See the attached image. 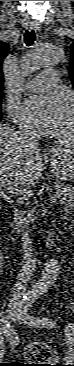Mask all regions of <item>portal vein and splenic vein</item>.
Wrapping results in <instances>:
<instances>
[{
	"label": "portal vein and splenic vein",
	"mask_w": 74,
	"mask_h": 366,
	"mask_svg": "<svg viewBox=\"0 0 74 366\" xmlns=\"http://www.w3.org/2000/svg\"><path fill=\"white\" fill-rule=\"evenodd\" d=\"M59 198L58 195H52L51 196V201L54 203V202H57V199Z\"/></svg>",
	"instance_id": "18ae733b"
}]
</instances>
